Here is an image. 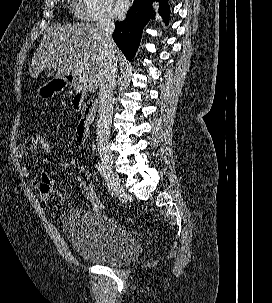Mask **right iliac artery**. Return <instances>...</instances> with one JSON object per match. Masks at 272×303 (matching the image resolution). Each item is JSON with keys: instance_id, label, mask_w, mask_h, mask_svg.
<instances>
[{"instance_id": "1", "label": "right iliac artery", "mask_w": 272, "mask_h": 303, "mask_svg": "<svg viewBox=\"0 0 272 303\" xmlns=\"http://www.w3.org/2000/svg\"><path fill=\"white\" fill-rule=\"evenodd\" d=\"M96 168L100 172L101 176L105 179L106 184L108 186V191L113 196L115 194V190H114L113 184H112V182L110 180V177H109V175L107 173V170L105 169V167L100 162H98L96 164Z\"/></svg>"}]
</instances>
